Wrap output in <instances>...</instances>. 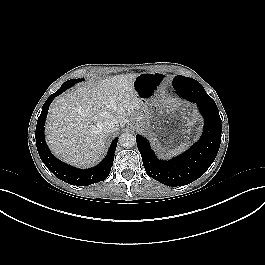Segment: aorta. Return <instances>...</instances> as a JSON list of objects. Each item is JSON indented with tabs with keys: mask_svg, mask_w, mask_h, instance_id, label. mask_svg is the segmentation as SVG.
Wrapping results in <instances>:
<instances>
[{
	"mask_svg": "<svg viewBox=\"0 0 265 265\" xmlns=\"http://www.w3.org/2000/svg\"><path fill=\"white\" fill-rule=\"evenodd\" d=\"M120 145L125 148H131L136 144V138L131 133H123L119 137Z\"/></svg>",
	"mask_w": 265,
	"mask_h": 265,
	"instance_id": "762f6f07",
	"label": "aorta"
}]
</instances>
